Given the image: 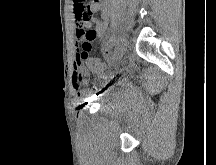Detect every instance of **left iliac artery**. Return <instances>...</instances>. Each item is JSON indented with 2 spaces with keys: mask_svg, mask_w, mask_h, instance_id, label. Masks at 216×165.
<instances>
[{
  "mask_svg": "<svg viewBox=\"0 0 216 165\" xmlns=\"http://www.w3.org/2000/svg\"><path fill=\"white\" fill-rule=\"evenodd\" d=\"M115 42V37L111 36L106 44L105 52L108 53L113 43Z\"/></svg>",
  "mask_w": 216,
  "mask_h": 165,
  "instance_id": "44dca946",
  "label": "left iliac artery"
}]
</instances>
